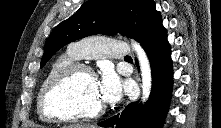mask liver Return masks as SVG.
I'll use <instances>...</instances> for the list:
<instances>
[{
    "label": "liver",
    "instance_id": "1",
    "mask_svg": "<svg viewBox=\"0 0 221 128\" xmlns=\"http://www.w3.org/2000/svg\"><path fill=\"white\" fill-rule=\"evenodd\" d=\"M64 128H96L94 125H80V124H72L65 126Z\"/></svg>",
    "mask_w": 221,
    "mask_h": 128
}]
</instances>
